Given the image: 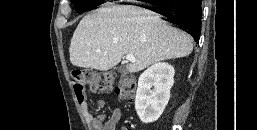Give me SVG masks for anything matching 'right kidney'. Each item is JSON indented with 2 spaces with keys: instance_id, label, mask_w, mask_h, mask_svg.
<instances>
[{
  "instance_id": "1",
  "label": "right kidney",
  "mask_w": 257,
  "mask_h": 130,
  "mask_svg": "<svg viewBox=\"0 0 257 130\" xmlns=\"http://www.w3.org/2000/svg\"><path fill=\"white\" fill-rule=\"evenodd\" d=\"M175 70L168 63H156L139 77L135 109L140 120L149 124L163 113L174 84Z\"/></svg>"
}]
</instances>
